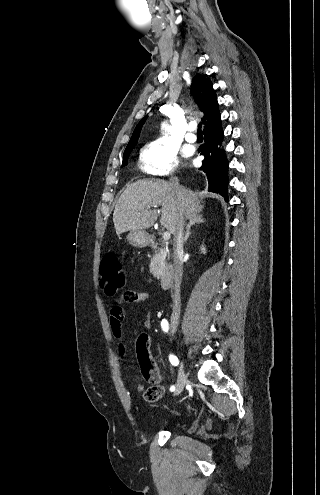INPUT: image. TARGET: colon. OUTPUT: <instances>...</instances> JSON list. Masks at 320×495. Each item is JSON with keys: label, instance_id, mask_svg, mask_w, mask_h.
Instances as JSON below:
<instances>
[{"label": "colon", "instance_id": "5ec220e1", "mask_svg": "<svg viewBox=\"0 0 320 495\" xmlns=\"http://www.w3.org/2000/svg\"><path fill=\"white\" fill-rule=\"evenodd\" d=\"M101 287L105 292L114 294L125 282L124 271L117 255L113 253L106 254L100 264ZM148 338L146 335H141L136 344L137 355L139 362L150 367L152 361L149 354ZM160 376L154 375L150 378L151 386L144 393L143 398L148 403H153L159 400L163 395V387L160 385Z\"/></svg>", "mask_w": 320, "mask_h": 495}]
</instances>
